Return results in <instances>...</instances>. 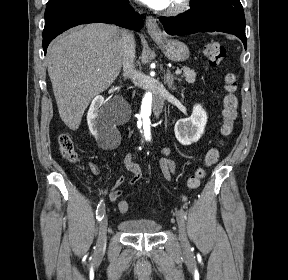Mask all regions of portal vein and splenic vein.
<instances>
[{"mask_svg":"<svg viewBox=\"0 0 288 280\" xmlns=\"http://www.w3.org/2000/svg\"><path fill=\"white\" fill-rule=\"evenodd\" d=\"M175 73L178 75V74H181L182 73V70H180V69H177L176 71H175Z\"/></svg>","mask_w":288,"mask_h":280,"instance_id":"1","label":"portal vein and splenic vein"}]
</instances>
